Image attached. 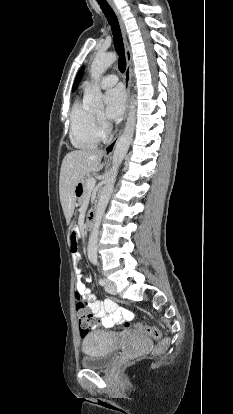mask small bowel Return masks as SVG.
<instances>
[{
  "instance_id": "1",
  "label": "small bowel",
  "mask_w": 233,
  "mask_h": 414,
  "mask_svg": "<svg viewBox=\"0 0 233 414\" xmlns=\"http://www.w3.org/2000/svg\"><path fill=\"white\" fill-rule=\"evenodd\" d=\"M78 235L82 236L83 232L79 231ZM72 257L74 260L72 266L76 272L77 293H80L87 300L89 307L98 319L99 324L103 327L111 328L132 320V313L128 309L118 306L114 300L107 298L100 301L95 298L84 283V281L89 280V278L85 277L82 273L81 263L79 262L81 259L80 253L78 251H73Z\"/></svg>"
}]
</instances>
